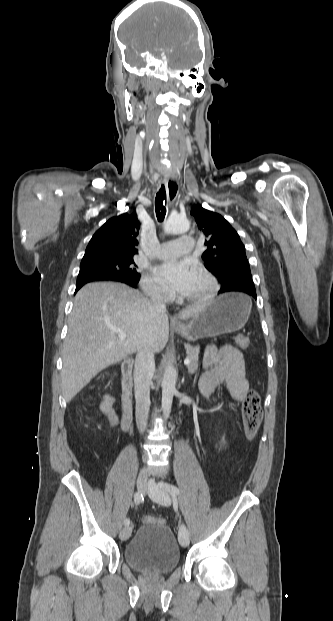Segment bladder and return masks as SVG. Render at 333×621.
<instances>
[{
	"mask_svg": "<svg viewBox=\"0 0 333 621\" xmlns=\"http://www.w3.org/2000/svg\"><path fill=\"white\" fill-rule=\"evenodd\" d=\"M124 561L145 574H164L177 567L180 550L172 530L164 524L141 526L123 550Z\"/></svg>",
	"mask_w": 333,
	"mask_h": 621,
	"instance_id": "obj_1",
	"label": "bladder"
}]
</instances>
